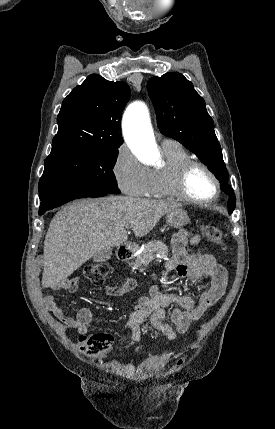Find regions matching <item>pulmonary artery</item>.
<instances>
[{"label": "pulmonary artery", "mask_w": 275, "mask_h": 429, "mask_svg": "<svg viewBox=\"0 0 275 429\" xmlns=\"http://www.w3.org/2000/svg\"><path fill=\"white\" fill-rule=\"evenodd\" d=\"M175 141L171 140V139H163L162 140V144H169V143H173Z\"/></svg>", "instance_id": "e3ab8cb5"}]
</instances>
